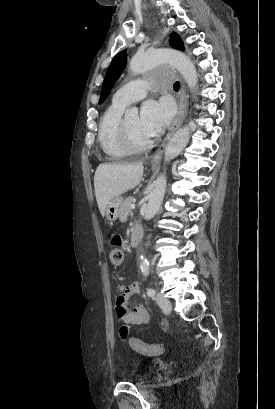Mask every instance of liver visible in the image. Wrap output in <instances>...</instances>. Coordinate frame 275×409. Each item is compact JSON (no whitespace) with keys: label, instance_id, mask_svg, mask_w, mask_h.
<instances>
[{"label":"liver","instance_id":"liver-1","mask_svg":"<svg viewBox=\"0 0 275 409\" xmlns=\"http://www.w3.org/2000/svg\"><path fill=\"white\" fill-rule=\"evenodd\" d=\"M142 162L136 164H99L94 174V188L97 205L102 217H105L107 202L120 196L141 182Z\"/></svg>","mask_w":275,"mask_h":409}]
</instances>
